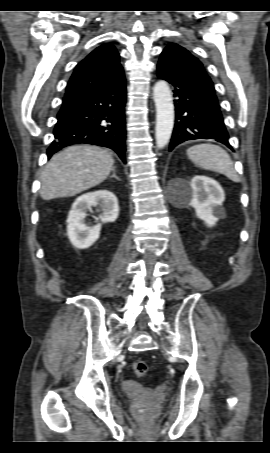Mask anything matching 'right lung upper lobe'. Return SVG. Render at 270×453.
I'll return each mask as SVG.
<instances>
[{"label": "right lung upper lobe", "instance_id": "cb5924a9", "mask_svg": "<svg viewBox=\"0 0 270 453\" xmlns=\"http://www.w3.org/2000/svg\"><path fill=\"white\" fill-rule=\"evenodd\" d=\"M123 74L119 54L106 43L93 50L74 69L65 95L98 90Z\"/></svg>", "mask_w": 270, "mask_h": 453}]
</instances>
